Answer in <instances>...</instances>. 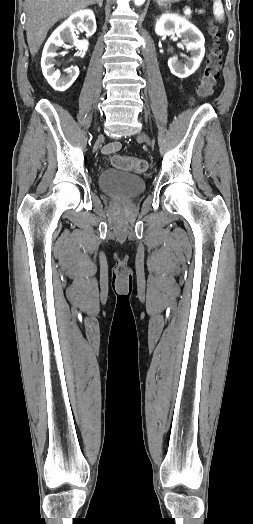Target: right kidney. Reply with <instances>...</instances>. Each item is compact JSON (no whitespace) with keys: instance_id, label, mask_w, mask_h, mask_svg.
I'll return each instance as SVG.
<instances>
[{"instance_id":"right-kidney-1","label":"right kidney","mask_w":253,"mask_h":524,"mask_svg":"<svg viewBox=\"0 0 253 524\" xmlns=\"http://www.w3.org/2000/svg\"><path fill=\"white\" fill-rule=\"evenodd\" d=\"M79 27L83 28L88 35L95 33L96 20L92 10L86 9L72 14L52 33L44 46L41 58L43 75L57 91L67 90L78 77L79 69L73 67L66 76H61L54 68V58L58 55L56 51L60 47H69L67 45L69 43L76 46L80 51L81 57H84L88 49V41H79L74 33L75 29Z\"/></svg>"}]
</instances>
